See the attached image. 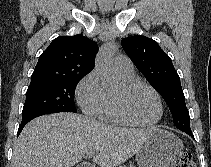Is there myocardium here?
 I'll use <instances>...</instances> for the list:
<instances>
[{
	"label": "myocardium",
	"mask_w": 211,
	"mask_h": 167,
	"mask_svg": "<svg viewBox=\"0 0 211 167\" xmlns=\"http://www.w3.org/2000/svg\"><path fill=\"white\" fill-rule=\"evenodd\" d=\"M124 88L126 91H132L138 88H146L148 90H150L154 96L156 97V100L158 102V106H159V115L157 117L156 120L149 122V123H143L140 122L138 120H136L135 118H133L124 108L121 100L115 96H113V105L115 108V111L117 113V115L126 123L133 125V126H138V127H153L155 125H157L163 118L164 115V106H163V102L161 99L160 94L158 93V91L151 86L150 84L140 81V80H131V81H126L124 83Z\"/></svg>",
	"instance_id": "myocardium-1"
}]
</instances>
